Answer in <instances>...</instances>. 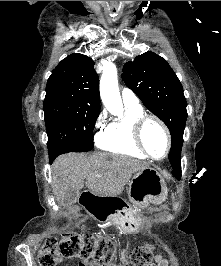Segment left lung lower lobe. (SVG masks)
<instances>
[{
    "mask_svg": "<svg viewBox=\"0 0 221 266\" xmlns=\"http://www.w3.org/2000/svg\"><path fill=\"white\" fill-rule=\"evenodd\" d=\"M173 174L180 179L181 178V164L172 165Z\"/></svg>",
    "mask_w": 221,
    "mask_h": 266,
    "instance_id": "obj_1",
    "label": "left lung lower lobe"
}]
</instances>
